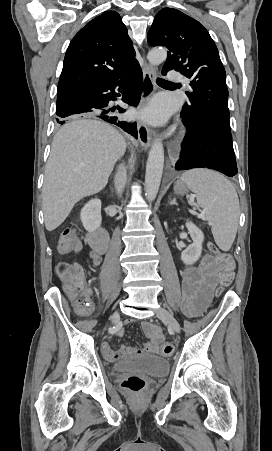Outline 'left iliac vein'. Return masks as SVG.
Returning a JSON list of instances; mask_svg holds the SVG:
<instances>
[{"label": "left iliac vein", "instance_id": "4c4485c4", "mask_svg": "<svg viewBox=\"0 0 272 451\" xmlns=\"http://www.w3.org/2000/svg\"><path fill=\"white\" fill-rule=\"evenodd\" d=\"M156 315L158 318L163 320L175 333H180V325L178 321L168 310L161 307L156 311Z\"/></svg>", "mask_w": 272, "mask_h": 451}]
</instances>
